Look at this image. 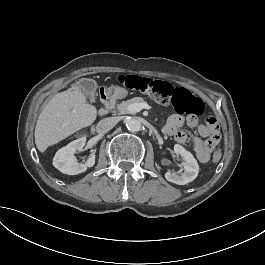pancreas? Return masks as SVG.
I'll return each mask as SVG.
<instances>
[{
  "label": "pancreas",
  "mask_w": 265,
  "mask_h": 265,
  "mask_svg": "<svg viewBox=\"0 0 265 265\" xmlns=\"http://www.w3.org/2000/svg\"><path fill=\"white\" fill-rule=\"evenodd\" d=\"M135 103H146V102L144 101L142 97H134L127 101H123L120 104H117L116 112L118 114H127L129 113V110H128L129 105L135 104Z\"/></svg>",
  "instance_id": "obj_1"
}]
</instances>
